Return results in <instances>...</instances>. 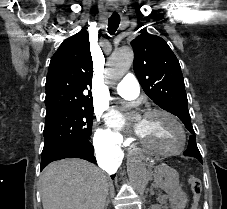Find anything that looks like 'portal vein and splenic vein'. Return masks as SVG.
Instances as JSON below:
<instances>
[{"mask_svg":"<svg viewBox=\"0 0 227 209\" xmlns=\"http://www.w3.org/2000/svg\"><path fill=\"white\" fill-rule=\"evenodd\" d=\"M160 197H161L162 199H163V198L165 199L167 196H166L165 194H164V195L162 194ZM161 198L159 199L160 201L162 200Z\"/></svg>","mask_w":227,"mask_h":209,"instance_id":"18ae733b","label":"portal vein and splenic vein"}]
</instances>
